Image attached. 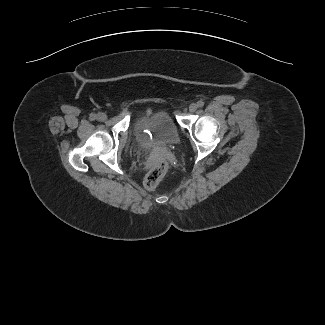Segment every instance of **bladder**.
Returning <instances> with one entry per match:
<instances>
[{
    "mask_svg": "<svg viewBox=\"0 0 325 325\" xmlns=\"http://www.w3.org/2000/svg\"><path fill=\"white\" fill-rule=\"evenodd\" d=\"M135 133L139 139L160 146L176 145L180 140L177 124L164 110L143 115L136 124Z\"/></svg>",
    "mask_w": 325,
    "mask_h": 325,
    "instance_id": "31cf9c89",
    "label": "bladder"
}]
</instances>
